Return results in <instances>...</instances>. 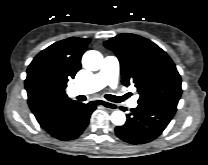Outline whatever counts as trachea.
<instances>
[{"label": "trachea", "mask_w": 208, "mask_h": 165, "mask_svg": "<svg viewBox=\"0 0 208 165\" xmlns=\"http://www.w3.org/2000/svg\"><path fill=\"white\" fill-rule=\"evenodd\" d=\"M130 94H126L125 96L123 97H118V96H115V95H106V98L112 102H117V103H120L122 102L125 98L129 97Z\"/></svg>", "instance_id": "trachea-1"}]
</instances>
